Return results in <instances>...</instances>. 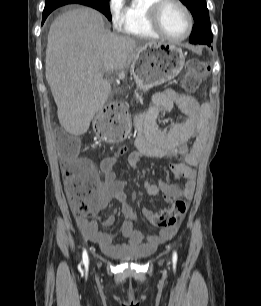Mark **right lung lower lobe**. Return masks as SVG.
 <instances>
[{"mask_svg":"<svg viewBox=\"0 0 261 306\" xmlns=\"http://www.w3.org/2000/svg\"><path fill=\"white\" fill-rule=\"evenodd\" d=\"M51 12H52V11L43 12L42 24L44 23L45 19L47 18V16H48Z\"/></svg>","mask_w":261,"mask_h":306,"instance_id":"obj_1","label":"right lung lower lobe"}]
</instances>
